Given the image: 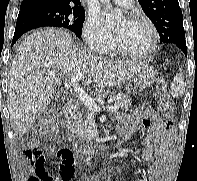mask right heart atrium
Instances as JSON below:
<instances>
[{
    "label": "right heart atrium",
    "mask_w": 197,
    "mask_h": 181,
    "mask_svg": "<svg viewBox=\"0 0 197 181\" xmlns=\"http://www.w3.org/2000/svg\"><path fill=\"white\" fill-rule=\"evenodd\" d=\"M83 37L90 49L103 53L108 51L113 43V37L107 30L98 15L94 12L88 14L83 26Z\"/></svg>",
    "instance_id": "d8ad5b80"
}]
</instances>
